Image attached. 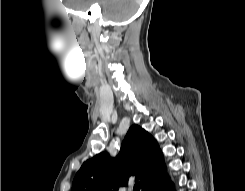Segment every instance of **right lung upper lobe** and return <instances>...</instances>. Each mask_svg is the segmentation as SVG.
I'll use <instances>...</instances> for the list:
<instances>
[{"label":"right lung upper lobe","mask_w":245,"mask_h":191,"mask_svg":"<svg viewBox=\"0 0 245 191\" xmlns=\"http://www.w3.org/2000/svg\"><path fill=\"white\" fill-rule=\"evenodd\" d=\"M115 163L114 172L107 152L87 160L76 173L71 191H115L127 186L131 175L140 180L144 191L166 172L157 141L138 125L130 127Z\"/></svg>","instance_id":"obj_1"}]
</instances>
